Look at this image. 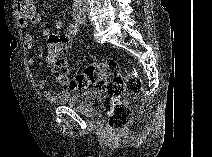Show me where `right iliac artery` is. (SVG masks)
Wrapping results in <instances>:
<instances>
[{
    "mask_svg": "<svg viewBox=\"0 0 212 157\" xmlns=\"http://www.w3.org/2000/svg\"><path fill=\"white\" fill-rule=\"evenodd\" d=\"M69 31H70V33L73 34V35L78 34V31H79L78 25H77V24H71V25L69 26Z\"/></svg>",
    "mask_w": 212,
    "mask_h": 157,
    "instance_id": "obj_1",
    "label": "right iliac artery"
}]
</instances>
